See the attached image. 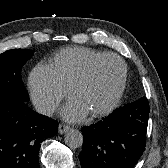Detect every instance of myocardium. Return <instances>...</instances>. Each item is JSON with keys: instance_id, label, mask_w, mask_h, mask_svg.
<instances>
[{"instance_id": "1", "label": "myocardium", "mask_w": 168, "mask_h": 168, "mask_svg": "<svg viewBox=\"0 0 168 168\" xmlns=\"http://www.w3.org/2000/svg\"><path fill=\"white\" fill-rule=\"evenodd\" d=\"M107 59H114L119 62L122 71L121 79L111 100L104 107L91 112V115L93 117H101L109 114L121 100L126 87L128 76V70L124 60L118 55L113 53H105L99 56L98 58L94 59L89 63V65L86 67L83 73L76 79V81L71 87V92L73 95H75V93L79 90V88L91 79L97 66Z\"/></svg>"}]
</instances>
